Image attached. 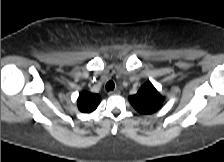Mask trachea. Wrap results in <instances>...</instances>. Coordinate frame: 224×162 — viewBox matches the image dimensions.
<instances>
[{"label":"trachea","mask_w":224,"mask_h":162,"mask_svg":"<svg viewBox=\"0 0 224 162\" xmlns=\"http://www.w3.org/2000/svg\"><path fill=\"white\" fill-rule=\"evenodd\" d=\"M105 88H106L107 91L114 90V88H115L114 82L113 81H108L107 84H106V86H105Z\"/></svg>","instance_id":"1"}]
</instances>
